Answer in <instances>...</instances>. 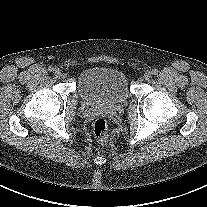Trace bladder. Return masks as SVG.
Here are the masks:
<instances>
[{
    "mask_svg": "<svg viewBox=\"0 0 207 207\" xmlns=\"http://www.w3.org/2000/svg\"><path fill=\"white\" fill-rule=\"evenodd\" d=\"M78 91L89 104L115 105L124 102L130 94L126 74L114 67H92L78 80Z\"/></svg>",
    "mask_w": 207,
    "mask_h": 207,
    "instance_id": "obj_1",
    "label": "bladder"
}]
</instances>
